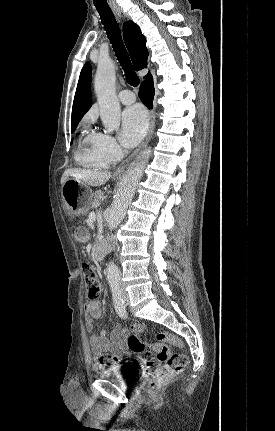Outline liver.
I'll list each match as a JSON object with an SVG mask.
<instances>
[{
    "label": "liver",
    "mask_w": 275,
    "mask_h": 431,
    "mask_svg": "<svg viewBox=\"0 0 275 431\" xmlns=\"http://www.w3.org/2000/svg\"><path fill=\"white\" fill-rule=\"evenodd\" d=\"M69 177L83 181L90 186L97 187L105 184L110 179L111 173L104 171L67 169L61 177V184L63 185Z\"/></svg>",
    "instance_id": "liver-1"
}]
</instances>
